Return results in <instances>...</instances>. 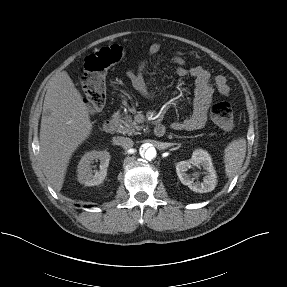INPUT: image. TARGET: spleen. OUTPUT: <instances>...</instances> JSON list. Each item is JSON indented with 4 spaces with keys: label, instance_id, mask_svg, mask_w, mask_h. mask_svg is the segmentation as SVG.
<instances>
[{
    "label": "spleen",
    "instance_id": "3e777b00",
    "mask_svg": "<svg viewBox=\"0 0 287 287\" xmlns=\"http://www.w3.org/2000/svg\"><path fill=\"white\" fill-rule=\"evenodd\" d=\"M246 147V140L239 138L230 142L225 148V173L229 178L234 177L242 167L246 155Z\"/></svg>",
    "mask_w": 287,
    "mask_h": 287
}]
</instances>
